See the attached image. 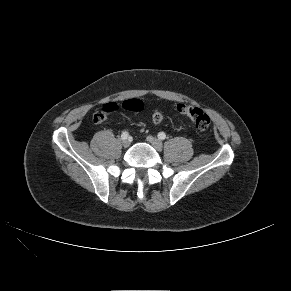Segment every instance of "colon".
Listing matches in <instances>:
<instances>
[{"label":"colon","mask_w":291,"mask_h":291,"mask_svg":"<svg viewBox=\"0 0 291 291\" xmlns=\"http://www.w3.org/2000/svg\"><path fill=\"white\" fill-rule=\"evenodd\" d=\"M121 107L128 111L139 112L143 109V102L139 99H129L124 101ZM118 109L119 105L117 103H107L94 114L93 120L96 123H100L104 121L108 115ZM176 110L181 115L188 117L198 131H206L210 127V117L202 109L180 103L176 106ZM152 121L154 124L161 123L163 121V113L159 110L154 111L152 114Z\"/></svg>","instance_id":"1"}]
</instances>
